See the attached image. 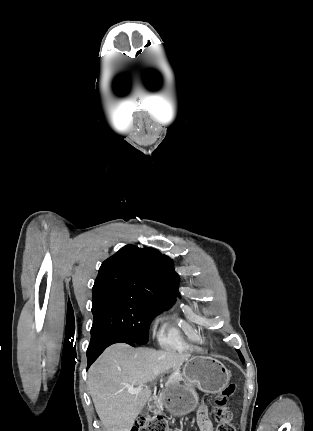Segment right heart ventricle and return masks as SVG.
Returning <instances> with one entry per match:
<instances>
[{
	"instance_id": "obj_1",
	"label": "right heart ventricle",
	"mask_w": 313,
	"mask_h": 431,
	"mask_svg": "<svg viewBox=\"0 0 313 431\" xmlns=\"http://www.w3.org/2000/svg\"><path fill=\"white\" fill-rule=\"evenodd\" d=\"M159 339L161 343L168 348L179 350L190 348V346L183 341L178 330L173 327L161 332L159 335Z\"/></svg>"
}]
</instances>
